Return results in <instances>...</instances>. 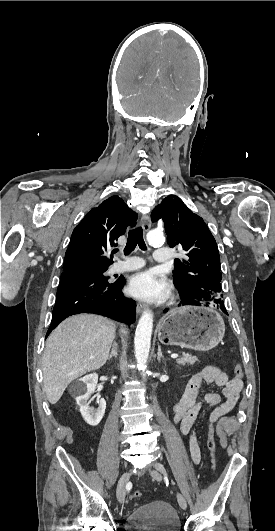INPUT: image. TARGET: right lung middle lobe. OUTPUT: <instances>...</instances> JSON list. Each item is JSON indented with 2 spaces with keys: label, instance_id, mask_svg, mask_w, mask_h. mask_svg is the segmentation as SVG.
I'll return each mask as SVG.
<instances>
[{
  "label": "right lung middle lobe",
  "instance_id": "obj_1",
  "mask_svg": "<svg viewBox=\"0 0 275 531\" xmlns=\"http://www.w3.org/2000/svg\"><path fill=\"white\" fill-rule=\"evenodd\" d=\"M108 267L109 266L83 265V266H78V267H75V268H72L66 271L85 270V271L93 272L101 276L104 279H108V277H105L103 275V273L108 269Z\"/></svg>",
  "mask_w": 275,
  "mask_h": 531
}]
</instances>
